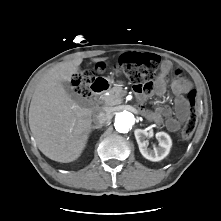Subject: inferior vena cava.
<instances>
[{"mask_svg":"<svg viewBox=\"0 0 221 221\" xmlns=\"http://www.w3.org/2000/svg\"><path fill=\"white\" fill-rule=\"evenodd\" d=\"M111 118V113L104 109L94 113L93 122L96 124V126L102 127L104 124L108 123Z\"/></svg>","mask_w":221,"mask_h":221,"instance_id":"1","label":"inferior vena cava"}]
</instances>
